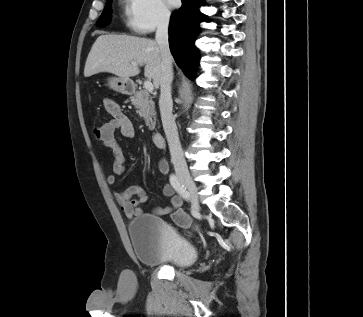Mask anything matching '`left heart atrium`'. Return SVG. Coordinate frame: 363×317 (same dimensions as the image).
Masks as SVG:
<instances>
[{"label":"left heart atrium","instance_id":"left-heart-atrium-1","mask_svg":"<svg viewBox=\"0 0 363 317\" xmlns=\"http://www.w3.org/2000/svg\"><path fill=\"white\" fill-rule=\"evenodd\" d=\"M171 6H176L178 4V0H168Z\"/></svg>","mask_w":363,"mask_h":317}]
</instances>
